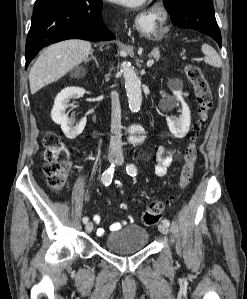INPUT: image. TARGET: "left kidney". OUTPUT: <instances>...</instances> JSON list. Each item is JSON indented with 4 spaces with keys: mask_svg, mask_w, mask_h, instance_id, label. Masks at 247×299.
Segmentation results:
<instances>
[{
    "mask_svg": "<svg viewBox=\"0 0 247 299\" xmlns=\"http://www.w3.org/2000/svg\"><path fill=\"white\" fill-rule=\"evenodd\" d=\"M173 102L176 104L177 102H182V110L179 117H168L167 125L170 132L176 138H184L190 129L191 124V115L188 105L184 102L182 94L180 92L176 93L173 98Z\"/></svg>",
    "mask_w": 247,
    "mask_h": 299,
    "instance_id": "1",
    "label": "left kidney"
}]
</instances>
